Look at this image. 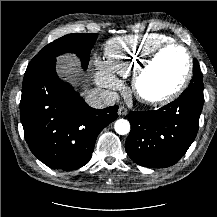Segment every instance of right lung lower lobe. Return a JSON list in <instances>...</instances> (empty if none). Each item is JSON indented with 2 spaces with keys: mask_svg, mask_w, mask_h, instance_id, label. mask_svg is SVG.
Instances as JSON below:
<instances>
[{
  "mask_svg": "<svg viewBox=\"0 0 217 217\" xmlns=\"http://www.w3.org/2000/svg\"><path fill=\"white\" fill-rule=\"evenodd\" d=\"M56 58L24 74L20 117L32 153L52 169L88 163L99 133L117 118L118 106L94 109L55 71Z\"/></svg>",
  "mask_w": 217,
  "mask_h": 217,
  "instance_id": "1",
  "label": "right lung lower lobe"
}]
</instances>
